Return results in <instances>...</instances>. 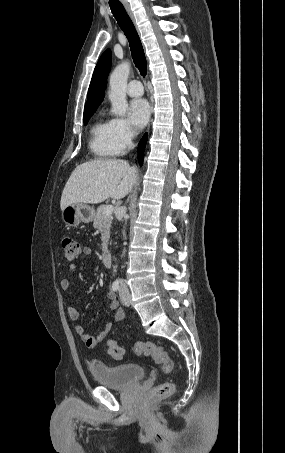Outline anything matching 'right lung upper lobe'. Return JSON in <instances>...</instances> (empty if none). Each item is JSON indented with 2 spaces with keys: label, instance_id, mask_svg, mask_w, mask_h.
<instances>
[{
  "label": "right lung upper lobe",
  "instance_id": "right-lung-upper-lobe-1",
  "mask_svg": "<svg viewBox=\"0 0 285 453\" xmlns=\"http://www.w3.org/2000/svg\"><path fill=\"white\" fill-rule=\"evenodd\" d=\"M111 67V51L107 49L100 57L88 90L85 112L94 111L104 98V91L107 86V77Z\"/></svg>",
  "mask_w": 285,
  "mask_h": 453
}]
</instances>
